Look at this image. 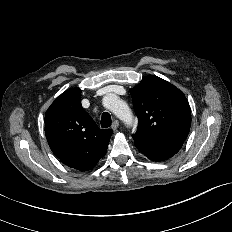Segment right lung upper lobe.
Wrapping results in <instances>:
<instances>
[{"label": "right lung upper lobe", "instance_id": "1", "mask_svg": "<svg viewBox=\"0 0 232 232\" xmlns=\"http://www.w3.org/2000/svg\"><path fill=\"white\" fill-rule=\"evenodd\" d=\"M113 133L100 129L83 110L81 90L65 91L54 100L45 114V134L48 144L65 165L88 171L104 157Z\"/></svg>", "mask_w": 232, "mask_h": 232}]
</instances>
